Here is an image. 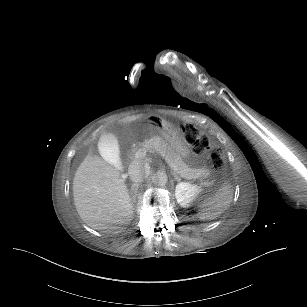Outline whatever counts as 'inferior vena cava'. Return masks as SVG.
Returning <instances> with one entry per match:
<instances>
[{"label":"inferior vena cava","instance_id":"inferior-vena-cava-1","mask_svg":"<svg viewBox=\"0 0 307 307\" xmlns=\"http://www.w3.org/2000/svg\"><path fill=\"white\" fill-rule=\"evenodd\" d=\"M128 174L133 182H141L148 175V170L139 161H133L128 167Z\"/></svg>","mask_w":307,"mask_h":307}]
</instances>
